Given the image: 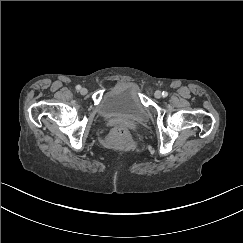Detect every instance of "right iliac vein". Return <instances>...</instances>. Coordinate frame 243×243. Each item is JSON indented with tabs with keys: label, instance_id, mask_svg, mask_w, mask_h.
<instances>
[{
	"label": "right iliac vein",
	"instance_id": "right-iliac-vein-1",
	"mask_svg": "<svg viewBox=\"0 0 243 243\" xmlns=\"http://www.w3.org/2000/svg\"><path fill=\"white\" fill-rule=\"evenodd\" d=\"M87 92H88V90H87L86 88H81V89H80V93H81L82 95H86Z\"/></svg>",
	"mask_w": 243,
	"mask_h": 243
}]
</instances>
